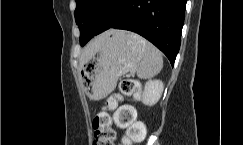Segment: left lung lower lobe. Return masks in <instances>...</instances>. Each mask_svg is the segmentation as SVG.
Listing matches in <instances>:
<instances>
[{"label":"left lung lower lobe","mask_w":243,"mask_h":145,"mask_svg":"<svg viewBox=\"0 0 243 145\" xmlns=\"http://www.w3.org/2000/svg\"><path fill=\"white\" fill-rule=\"evenodd\" d=\"M186 2L187 0H124L113 15H92L87 22L91 32L82 46L93 36L109 28L125 29L149 40L174 65L180 48Z\"/></svg>","instance_id":"obj_1"}]
</instances>
